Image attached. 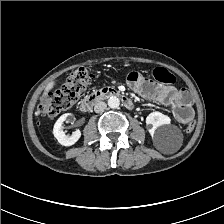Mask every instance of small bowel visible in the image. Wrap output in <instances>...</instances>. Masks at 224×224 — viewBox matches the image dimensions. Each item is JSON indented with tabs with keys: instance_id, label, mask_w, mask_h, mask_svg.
Masks as SVG:
<instances>
[{
	"instance_id": "obj_1",
	"label": "small bowel",
	"mask_w": 224,
	"mask_h": 224,
	"mask_svg": "<svg viewBox=\"0 0 224 224\" xmlns=\"http://www.w3.org/2000/svg\"><path fill=\"white\" fill-rule=\"evenodd\" d=\"M128 83L134 92L146 99L161 105H172L173 117L178 124H186L191 119L190 107L194 97L190 91L157 84L138 72L129 74Z\"/></svg>"
}]
</instances>
